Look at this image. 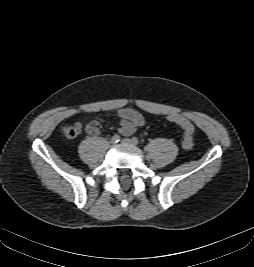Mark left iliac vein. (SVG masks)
I'll use <instances>...</instances> for the list:
<instances>
[{"instance_id":"left-iliac-vein-1","label":"left iliac vein","mask_w":254,"mask_h":267,"mask_svg":"<svg viewBox=\"0 0 254 267\" xmlns=\"http://www.w3.org/2000/svg\"><path fill=\"white\" fill-rule=\"evenodd\" d=\"M123 144H130V145H133V141L131 139H128V138H125V139H122L121 141Z\"/></svg>"}]
</instances>
